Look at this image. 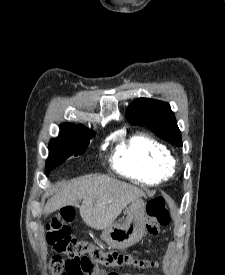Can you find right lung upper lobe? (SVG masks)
Segmentation results:
<instances>
[{
    "label": "right lung upper lobe",
    "mask_w": 225,
    "mask_h": 275,
    "mask_svg": "<svg viewBox=\"0 0 225 275\" xmlns=\"http://www.w3.org/2000/svg\"><path fill=\"white\" fill-rule=\"evenodd\" d=\"M62 126L83 127V126H81V125L77 126V125H74V124H71V123H64V124H62Z\"/></svg>",
    "instance_id": "obj_1"
}]
</instances>
